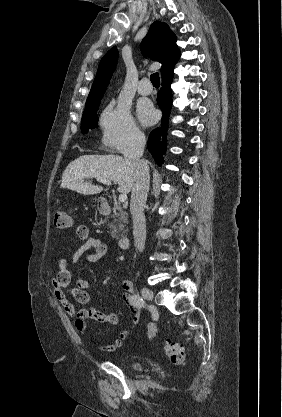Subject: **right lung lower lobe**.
Returning a JSON list of instances; mask_svg holds the SVG:
<instances>
[{
    "label": "right lung lower lobe",
    "instance_id": "obj_1",
    "mask_svg": "<svg viewBox=\"0 0 282 417\" xmlns=\"http://www.w3.org/2000/svg\"><path fill=\"white\" fill-rule=\"evenodd\" d=\"M173 69L162 75V87L158 93V105L163 113L161 127L153 130L148 139V150L160 166L164 163L163 155L166 153L167 146V131L172 106L171 83L173 81Z\"/></svg>",
    "mask_w": 282,
    "mask_h": 417
}]
</instances>
